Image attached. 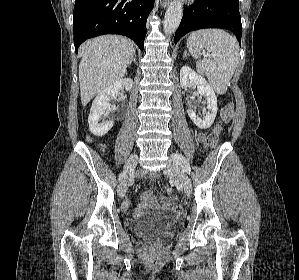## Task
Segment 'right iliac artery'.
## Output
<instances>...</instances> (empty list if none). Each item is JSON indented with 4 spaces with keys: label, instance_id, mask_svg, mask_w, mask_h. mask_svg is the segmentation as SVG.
I'll return each mask as SVG.
<instances>
[{
    "label": "right iliac artery",
    "instance_id": "obj_1",
    "mask_svg": "<svg viewBox=\"0 0 299 280\" xmlns=\"http://www.w3.org/2000/svg\"><path fill=\"white\" fill-rule=\"evenodd\" d=\"M126 176V173H121L120 175H119V180H122L124 177Z\"/></svg>",
    "mask_w": 299,
    "mask_h": 280
}]
</instances>
